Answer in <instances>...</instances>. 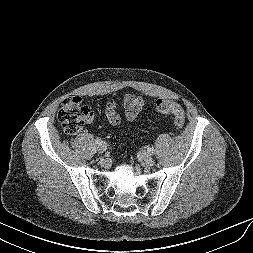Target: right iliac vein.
Wrapping results in <instances>:
<instances>
[{
  "instance_id": "right-iliac-vein-1",
  "label": "right iliac vein",
  "mask_w": 253,
  "mask_h": 253,
  "mask_svg": "<svg viewBox=\"0 0 253 253\" xmlns=\"http://www.w3.org/2000/svg\"><path fill=\"white\" fill-rule=\"evenodd\" d=\"M106 148H107V145L105 143L98 144L97 146V150L99 153L105 152Z\"/></svg>"
}]
</instances>
